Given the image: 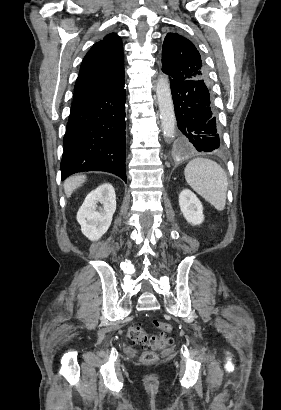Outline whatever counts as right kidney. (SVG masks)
I'll use <instances>...</instances> for the list:
<instances>
[{
  "label": "right kidney",
  "instance_id": "ca27d5eb",
  "mask_svg": "<svg viewBox=\"0 0 281 410\" xmlns=\"http://www.w3.org/2000/svg\"><path fill=\"white\" fill-rule=\"evenodd\" d=\"M98 203L102 205L99 208ZM115 210L116 195L110 183H103L92 190L77 213L82 233L92 241L101 238L110 227Z\"/></svg>",
  "mask_w": 281,
  "mask_h": 410
}]
</instances>
